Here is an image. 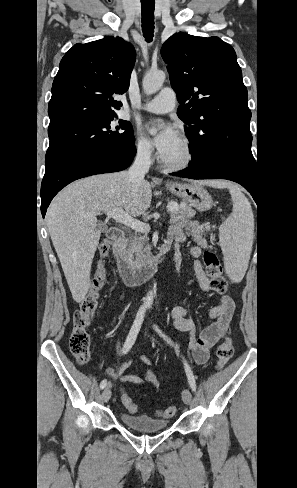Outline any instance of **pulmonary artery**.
I'll return each instance as SVG.
<instances>
[{"label": "pulmonary artery", "mask_w": 297, "mask_h": 488, "mask_svg": "<svg viewBox=\"0 0 297 488\" xmlns=\"http://www.w3.org/2000/svg\"><path fill=\"white\" fill-rule=\"evenodd\" d=\"M175 104L176 97L174 90L171 88H164L158 96L143 103L141 109L152 113L163 114L172 111Z\"/></svg>", "instance_id": "1"}]
</instances>
